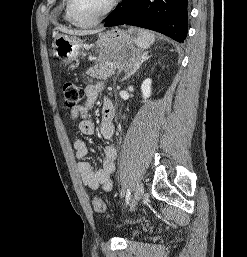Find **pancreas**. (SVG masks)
Masks as SVG:
<instances>
[{
	"label": "pancreas",
	"instance_id": "pancreas-1",
	"mask_svg": "<svg viewBox=\"0 0 247 257\" xmlns=\"http://www.w3.org/2000/svg\"><path fill=\"white\" fill-rule=\"evenodd\" d=\"M114 68V64L101 62L91 67L87 73L94 79L106 80L114 74Z\"/></svg>",
	"mask_w": 247,
	"mask_h": 257
}]
</instances>
